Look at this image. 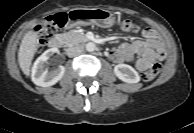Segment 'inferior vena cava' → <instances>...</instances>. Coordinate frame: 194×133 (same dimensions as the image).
I'll return each instance as SVG.
<instances>
[{
    "mask_svg": "<svg viewBox=\"0 0 194 133\" xmlns=\"http://www.w3.org/2000/svg\"><path fill=\"white\" fill-rule=\"evenodd\" d=\"M68 57H75L80 55L83 52L82 47L74 46V47H69L66 50Z\"/></svg>",
    "mask_w": 194,
    "mask_h": 133,
    "instance_id": "obj_1",
    "label": "inferior vena cava"
}]
</instances>
